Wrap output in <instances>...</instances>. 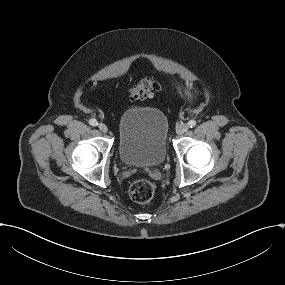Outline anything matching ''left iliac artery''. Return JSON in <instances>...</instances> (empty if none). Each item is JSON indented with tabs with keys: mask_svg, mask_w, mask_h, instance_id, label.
Returning <instances> with one entry per match:
<instances>
[{
	"mask_svg": "<svg viewBox=\"0 0 285 285\" xmlns=\"http://www.w3.org/2000/svg\"><path fill=\"white\" fill-rule=\"evenodd\" d=\"M188 126H189L190 128L195 127V126H196V121H195V120H190V121L188 122Z\"/></svg>",
	"mask_w": 285,
	"mask_h": 285,
	"instance_id": "1",
	"label": "left iliac artery"
}]
</instances>
